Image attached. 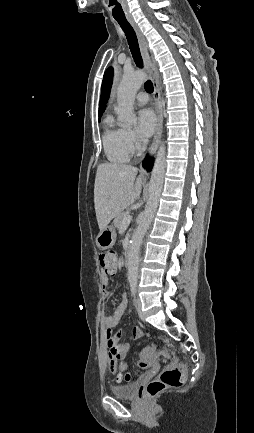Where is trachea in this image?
Wrapping results in <instances>:
<instances>
[{"label":"trachea","instance_id":"obj_1","mask_svg":"<svg viewBox=\"0 0 254 433\" xmlns=\"http://www.w3.org/2000/svg\"><path fill=\"white\" fill-rule=\"evenodd\" d=\"M115 20L119 23L120 27L125 33L134 62L136 63L137 67L142 68L143 60L141 57L137 36L133 27L126 18H115ZM145 89L147 92H153V85L150 80L145 83Z\"/></svg>","mask_w":254,"mask_h":433}]
</instances>
